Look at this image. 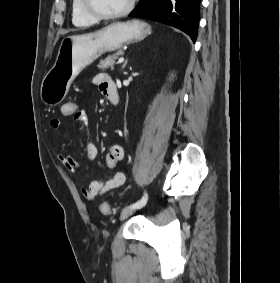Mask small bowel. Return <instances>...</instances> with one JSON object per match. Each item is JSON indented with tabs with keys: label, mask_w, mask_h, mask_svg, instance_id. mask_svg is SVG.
Listing matches in <instances>:
<instances>
[{
	"label": "small bowel",
	"mask_w": 280,
	"mask_h": 283,
	"mask_svg": "<svg viewBox=\"0 0 280 283\" xmlns=\"http://www.w3.org/2000/svg\"><path fill=\"white\" fill-rule=\"evenodd\" d=\"M112 79L107 75H99L95 78V82L99 87V90L107 96V90L109 82ZM73 120L80 124L86 125L88 123V114L86 111L81 110L76 112V116H72ZM50 126L52 129L57 130L61 126V120L53 118L50 120ZM86 156L89 160L95 159L97 156V146L92 141L86 143ZM59 161L70 173H75L82 165L73 159L69 154H60L58 156ZM124 158V150L120 145H113L110 147L106 156V165L110 169H114L118 163ZM125 181V175L121 172L114 174L113 177L106 181L92 180L88 186L82 188L84 197L88 201H94L98 196L104 195L109 191L120 187Z\"/></svg>",
	"instance_id": "1"
}]
</instances>
